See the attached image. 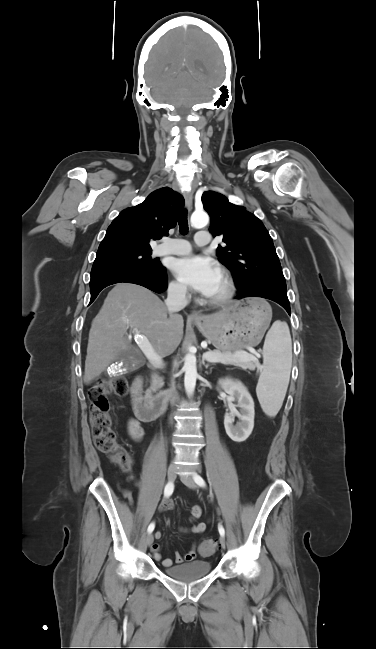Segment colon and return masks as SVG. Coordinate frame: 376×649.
<instances>
[{"instance_id": "1", "label": "colon", "mask_w": 376, "mask_h": 649, "mask_svg": "<svg viewBox=\"0 0 376 649\" xmlns=\"http://www.w3.org/2000/svg\"><path fill=\"white\" fill-rule=\"evenodd\" d=\"M128 392V381L123 376H109L102 378L87 391L89 401V421L95 446L107 454L111 460L118 464L122 470L131 475L133 472V459L117 440L111 428V418L108 411V396H124ZM217 549L214 540L204 541L199 551L203 555H210Z\"/></svg>"}]
</instances>
